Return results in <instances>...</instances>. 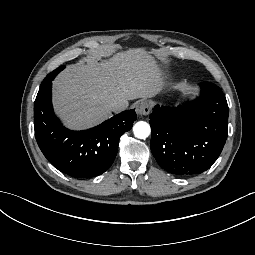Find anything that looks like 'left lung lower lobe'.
I'll return each mask as SVG.
<instances>
[{"label": "left lung lower lobe", "instance_id": "0a47b994", "mask_svg": "<svg viewBox=\"0 0 255 255\" xmlns=\"http://www.w3.org/2000/svg\"><path fill=\"white\" fill-rule=\"evenodd\" d=\"M201 96L174 109L156 106L150 114L151 151L175 175L200 174L219 157L228 134L229 108L222 90L202 82Z\"/></svg>", "mask_w": 255, "mask_h": 255}]
</instances>
